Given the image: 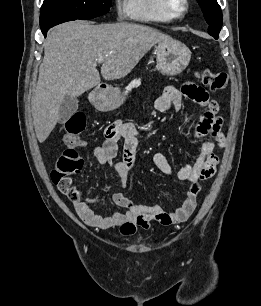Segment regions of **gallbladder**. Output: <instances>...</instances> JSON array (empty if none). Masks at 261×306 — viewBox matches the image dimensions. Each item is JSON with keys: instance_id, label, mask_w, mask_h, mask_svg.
I'll list each match as a JSON object with an SVG mask.
<instances>
[{"instance_id": "bac80fb5", "label": "gallbladder", "mask_w": 261, "mask_h": 306, "mask_svg": "<svg viewBox=\"0 0 261 306\" xmlns=\"http://www.w3.org/2000/svg\"><path fill=\"white\" fill-rule=\"evenodd\" d=\"M78 109V99L77 97L66 95L59 107V117L58 122L64 124Z\"/></svg>"}]
</instances>
